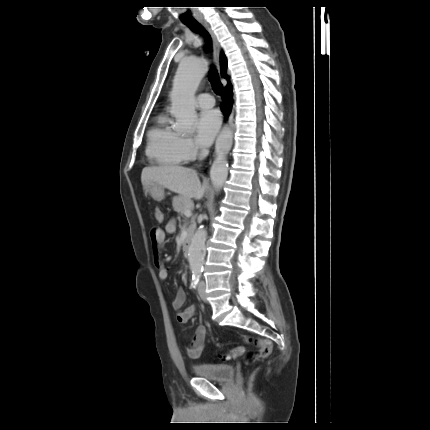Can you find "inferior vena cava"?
<instances>
[{
  "instance_id": "obj_1",
  "label": "inferior vena cava",
  "mask_w": 430,
  "mask_h": 430,
  "mask_svg": "<svg viewBox=\"0 0 430 430\" xmlns=\"http://www.w3.org/2000/svg\"><path fill=\"white\" fill-rule=\"evenodd\" d=\"M209 151L207 149H202L200 157L205 158L208 155Z\"/></svg>"
}]
</instances>
